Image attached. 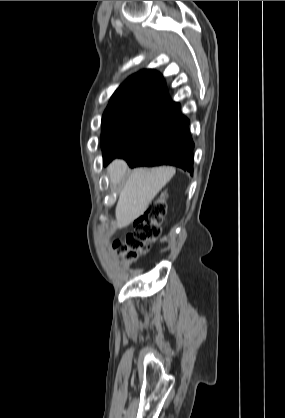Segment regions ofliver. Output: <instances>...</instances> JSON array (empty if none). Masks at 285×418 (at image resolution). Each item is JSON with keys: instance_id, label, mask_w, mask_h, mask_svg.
I'll return each instance as SVG.
<instances>
[{"instance_id": "6515ba94", "label": "liver", "mask_w": 285, "mask_h": 418, "mask_svg": "<svg viewBox=\"0 0 285 418\" xmlns=\"http://www.w3.org/2000/svg\"><path fill=\"white\" fill-rule=\"evenodd\" d=\"M127 172L128 165L122 159H115L107 168L113 186L120 185ZM174 174L175 168L168 166L133 170L119 193L115 211L116 226L126 227L143 215L157 193Z\"/></svg>"}]
</instances>
